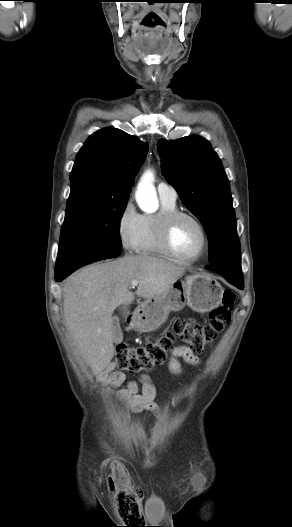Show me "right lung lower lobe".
Wrapping results in <instances>:
<instances>
[{
	"instance_id": "right-lung-lower-lobe-1",
	"label": "right lung lower lobe",
	"mask_w": 292,
	"mask_h": 527,
	"mask_svg": "<svg viewBox=\"0 0 292 527\" xmlns=\"http://www.w3.org/2000/svg\"><path fill=\"white\" fill-rule=\"evenodd\" d=\"M117 248L103 244L64 245L59 247L55 280L61 282L78 268L103 259L118 257Z\"/></svg>"
}]
</instances>
